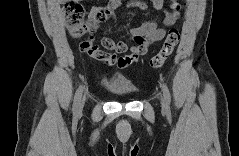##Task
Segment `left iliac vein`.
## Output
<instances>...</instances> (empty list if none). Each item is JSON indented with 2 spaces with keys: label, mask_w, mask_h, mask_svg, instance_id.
Masks as SVG:
<instances>
[{
  "label": "left iliac vein",
  "mask_w": 239,
  "mask_h": 156,
  "mask_svg": "<svg viewBox=\"0 0 239 156\" xmlns=\"http://www.w3.org/2000/svg\"><path fill=\"white\" fill-rule=\"evenodd\" d=\"M161 103H162V107L166 108V102H165V99L163 97L161 98Z\"/></svg>",
  "instance_id": "obj_1"
}]
</instances>
